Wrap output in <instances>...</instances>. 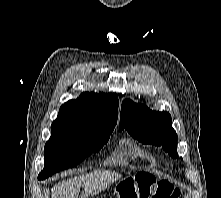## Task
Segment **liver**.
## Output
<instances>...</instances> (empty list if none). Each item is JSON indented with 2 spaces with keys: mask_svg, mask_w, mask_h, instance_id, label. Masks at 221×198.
<instances>
[{
  "mask_svg": "<svg viewBox=\"0 0 221 198\" xmlns=\"http://www.w3.org/2000/svg\"><path fill=\"white\" fill-rule=\"evenodd\" d=\"M120 177L119 173L112 171H94L75 176L54 185L51 198H78L81 187L84 194L80 198H87L105 190Z\"/></svg>",
  "mask_w": 221,
  "mask_h": 198,
  "instance_id": "1",
  "label": "liver"
}]
</instances>
